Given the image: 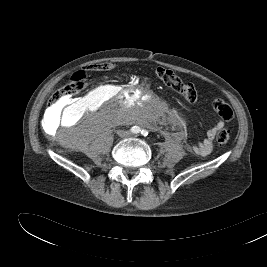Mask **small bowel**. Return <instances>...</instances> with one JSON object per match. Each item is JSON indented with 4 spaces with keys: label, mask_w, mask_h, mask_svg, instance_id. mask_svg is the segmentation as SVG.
Masks as SVG:
<instances>
[{
    "label": "small bowel",
    "mask_w": 267,
    "mask_h": 267,
    "mask_svg": "<svg viewBox=\"0 0 267 267\" xmlns=\"http://www.w3.org/2000/svg\"><path fill=\"white\" fill-rule=\"evenodd\" d=\"M94 68V67H92ZM76 105L75 104H70L68 107L64 108V106H59V107H55L52 108L49 111L50 116H60L62 113H64L66 110H69L70 112H72L73 110H75ZM224 125L223 121H218L208 132L207 135L205 137V139L192 146V150L200 155V156H206L208 154H210V152L212 151L213 148V140L215 137L216 132L222 128Z\"/></svg>",
    "instance_id": "obj_1"
}]
</instances>
